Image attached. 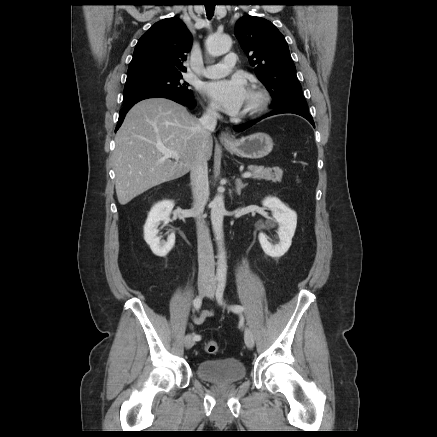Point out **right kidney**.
<instances>
[{"instance_id":"ca27d5eb","label":"right kidney","mask_w":437,"mask_h":437,"mask_svg":"<svg viewBox=\"0 0 437 437\" xmlns=\"http://www.w3.org/2000/svg\"><path fill=\"white\" fill-rule=\"evenodd\" d=\"M173 207L174 202L171 200L158 202L151 208L144 225V239L150 246L151 251L159 257H165L175 244L174 233L168 236L167 241L161 240V236H158V226L161 222L164 225L169 223Z\"/></svg>"}]
</instances>
